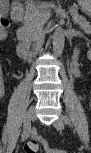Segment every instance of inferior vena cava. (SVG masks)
Returning a JSON list of instances; mask_svg holds the SVG:
<instances>
[{"label":"inferior vena cava","mask_w":91,"mask_h":153,"mask_svg":"<svg viewBox=\"0 0 91 153\" xmlns=\"http://www.w3.org/2000/svg\"><path fill=\"white\" fill-rule=\"evenodd\" d=\"M44 41V37L42 34V29L40 28L35 33V44H33V47H35V50H32V53H42L44 50V44H42ZM35 56V55H34Z\"/></svg>","instance_id":"1"}]
</instances>
